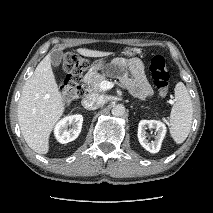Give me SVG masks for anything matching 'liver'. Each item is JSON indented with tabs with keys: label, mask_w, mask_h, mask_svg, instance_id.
Wrapping results in <instances>:
<instances>
[{
	"label": "liver",
	"mask_w": 213,
	"mask_h": 213,
	"mask_svg": "<svg viewBox=\"0 0 213 213\" xmlns=\"http://www.w3.org/2000/svg\"><path fill=\"white\" fill-rule=\"evenodd\" d=\"M64 48H59L63 50ZM86 57H103L109 52L77 49ZM65 110L63 97L51 67L50 53L26 81L18 102V122L28 146L38 154L49 151V137Z\"/></svg>",
	"instance_id": "6515ba94"
}]
</instances>
